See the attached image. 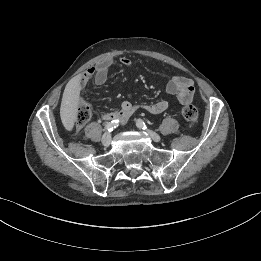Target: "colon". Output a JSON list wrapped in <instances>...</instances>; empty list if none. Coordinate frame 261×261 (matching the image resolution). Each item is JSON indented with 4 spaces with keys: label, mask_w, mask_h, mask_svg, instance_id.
<instances>
[{
    "label": "colon",
    "mask_w": 261,
    "mask_h": 261,
    "mask_svg": "<svg viewBox=\"0 0 261 261\" xmlns=\"http://www.w3.org/2000/svg\"><path fill=\"white\" fill-rule=\"evenodd\" d=\"M183 118L189 123L190 126H194L198 119V111L193 105H185L181 109ZM92 116V107L88 102H83L79 105L76 111V125L81 127L85 125Z\"/></svg>",
    "instance_id": "obj_1"
}]
</instances>
